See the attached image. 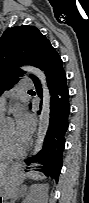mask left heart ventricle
<instances>
[{"mask_svg": "<svg viewBox=\"0 0 89 203\" xmlns=\"http://www.w3.org/2000/svg\"><path fill=\"white\" fill-rule=\"evenodd\" d=\"M3 135L7 144V148L11 152H16L25 147L27 141L18 135L15 124L7 123L3 127Z\"/></svg>", "mask_w": 89, "mask_h": 203, "instance_id": "obj_1", "label": "left heart ventricle"}]
</instances>
